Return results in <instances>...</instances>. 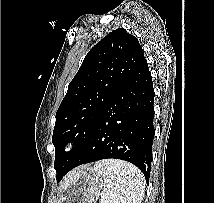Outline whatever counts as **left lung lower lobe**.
<instances>
[{
	"label": "left lung lower lobe",
	"mask_w": 214,
	"mask_h": 203,
	"mask_svg": "<svg viewBox=\"0 0 214 203\" xmlns=\"http://www.w3.org/2000/svg\"><path fill=\"white\" fill-rule=\"evenodd\" d=\"M154 95L152 77L144 57L102 111L65 174L82 164L115 158L136 165L148 183L155 132Z\"/></svg>",
	"instance_id": "obj_1"
}]
</instances>
